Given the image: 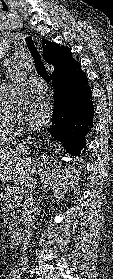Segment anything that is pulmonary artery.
<instances>
[{"mask_svg":"<svg viewBox=\"0 0 113 279\" xmlns=\"http://www.w3.org/2000/svg\"><path fill=\"white\" fill-rule=\"evenodd\" d=\"M23 85L29 89H31L32 91L34 92H37V93H43L46 91V86L45 84L40 80V79H37V78H30V79H27ZM2 91H6L10 88V85L8 83H4L2 86Z\"/></svg>","mask_w":113,"mask_h":279,"instance_id":"1","label":"pulmonary artery"}]
</instances>
